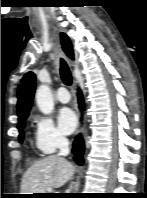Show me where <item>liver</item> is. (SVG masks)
I'll use <instances>...</instances> for the list:
<instances>
[{
    "label": "liver",
    "instance_id": "1",
    "mask_svg": "<svg viewBox=\"0 0 147 198\" xmlns=\"http://www.w3.org/2000/svg\"><path fill=\"white\" fill-rule=\"evenodd\" d=\"M75 167L59 155H49L36 161L22 177L21 194L46 193L64 185L74 174Z\"/></svg>",
    "mask_w": 147,
    "mask_h": 198
}]
</instances>
